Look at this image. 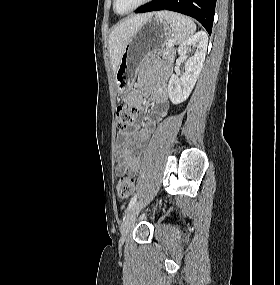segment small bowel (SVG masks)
Here are the masks:
<instances>
[{
  "label": "small bowel",
  "mask_w": 280,
  "mask_h": 285,
  "mask_svg": "<svg viewBox=\"0 0 280 285\" xmlns=\"http://www.w3.org/2000/svg\"><path fill=\"white\" fill-rule=\"evenodd\" d=\"M155 61L157 59L155 58ZM143 78L139 87L129 93L125 102L128 105L135 107L137 111L145 109L149 103L162 105L161 111L158 113V118L164 116L168 111V82L171 76V71L168 66H164L159 72H156L154 67L147 65L143 69ZM155 121H148L145 124L141 134L136 132H121L118 135L117 142L119 149L117 152V174H127L132 179L139 172L140 160L134 154L132 144L135 142H143L147 135L153 132Z\"/></svg>",
  "instance_id": "obj_1"
}]
</instances>
